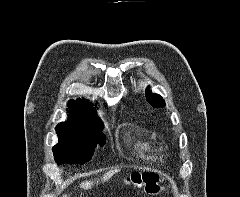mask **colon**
<instances>
[{"label":"colon","instance_id":"5ec220e1","mask_svg":"<svg viewBox=\"0 0 240 197\" xmlns=\"http://www.w3.org/2000/svg\"><path fill=\"white\" fill-rule=\"evenodd\" d=\"M161 181L162 178L155 173H136L127 178L128 183L136 187H143L150 194L160 192Z\"/></svg>","mask_w":240,"mask_h":197}]
</instances>
